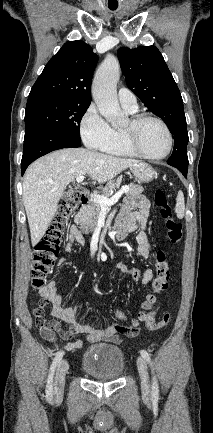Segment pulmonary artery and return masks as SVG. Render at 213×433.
I'll use <instances>...</instances> for the list:
<instances>
[{"instance_id": "obj_1", "label": "pulmonary artery", "mask_w": 213, "mask_h": 433, "mask_svg": "<svg viewBox=\"0 0 213 433\" xmlns=\"http://www.w3.org/2000/svg\"><path fill=\"white\" fill-rule=\"evenodd\" d=\"M118 99L121 105L130 110L137 109V99L135 94L128 88H120L118 91Z\"/></svg>"}]
</instances>
